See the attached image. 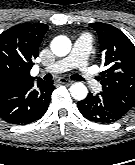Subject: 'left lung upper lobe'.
<instances>
[{
	"label": "left lung upper lobe",
	"instance_id": "5c2ea615",
	"mask_svg": "<svg viewBox=\"0 0 135 165\" xmlns=\"http://www.w3.org/2000/svg\"><path fill=\"white\" fill-rule=\"evenodd\" d=\"M90 26L97 32L105 55L106 70L99 77L102 92L130 110L135 106V46L122 31L110 24L95 22Z\"/></svg>",
	"mask_w": 135,
	"mask_h": 165
}]
</instances>
